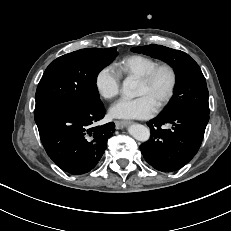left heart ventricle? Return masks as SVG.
Segmentation results:
<instances>
[{
  "instance_id": "b2bd125f",
  "label": "left heart ventricle",
  "mask_w": 231,
  "mask_h": 231,
  "mask_svg": "<svg viewBox=\"0 0 231 231\" xmlns=\"http://www.w3.org/2000/svg\"><path fill=\"white\" fill-rule=\"evenodd\" d=\"M169 85V76L166 72H161L151 85H145L139 81L137 95H146L156 106L165 94Z\"/></svg>"
}]
</instances>
